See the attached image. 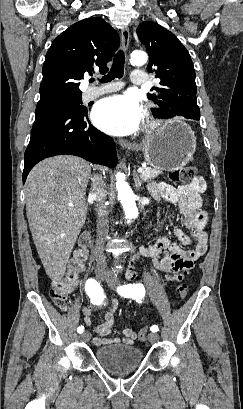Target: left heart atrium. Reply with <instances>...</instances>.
Segmentation results:
<instances>
[{"mask_svg":"<svg viewBox=\"0 0 243 409\" xmlns=\"http://www.w3.org/2000/svg\"><path fill=\"white\" fill-rule=\"evenodd\" d=\"M95 125L111 135H129L144 119V110L134 95H116L97 103L92 114Z\"/></svg>","mask_w":243,"mask_h":409,"instance_id":"39dd6f15","label":"left heart atrium"}]
</instances>
